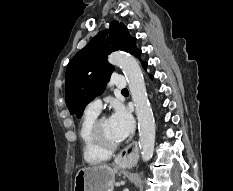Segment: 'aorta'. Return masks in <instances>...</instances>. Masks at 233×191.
<instances>
[{"mask_svg":"<svg viewBox=\"0 0 233 191\" xmlns=\"http://www.w3.org/2000/svg\"><path fill=\"white\" fill-rule=\"evenodd\" d=\"M108 61L122 69L128 82L138 119L141 157L143 161L147 162L152 158L154 152L155 121L147 97L142 70L137 60L127 53L114 52L109 55Z\"/></svg>","mask_w":233,"mask_h":191,"instance_id":"1","label":"aorta"}]
</instances>
